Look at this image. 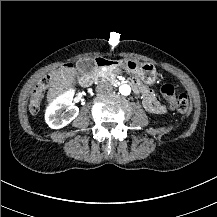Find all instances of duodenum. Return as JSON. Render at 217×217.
<instances>
[{
	"instance_id": "duodenum-1",
	"label": "duodenum",
	"mask_w": 217,
	"mask_h": 217,
	"mask_svg": "<svg viewBox=\"0 0 217 217\" xmlns=\"http://www.w3.org/2000/svg\"><path fill=\"white\" fill-rule=\"evenodd\" d=\"M119 63H120L119 60L108 59V58H104V57H98V58L95 59V65L97 67H116V66L119 65ZM92 80H93V76L92 75L86 76L84 78V81L86 83H90ZM132 85L135 88L139 87V85L136 82H132Z\"/></svg>"
}]
</instances>
